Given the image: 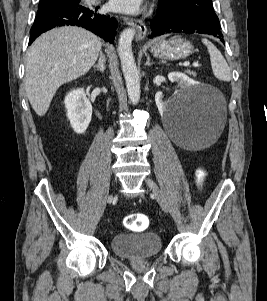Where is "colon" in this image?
<instances>
[{
	"label": "colon",
	"instance_id": "obj_1",
	"mask_svg": "<svg viewBox=\"0 0 267 301\" xmlns=\"http://www.w3.org/2000/svg\"><path fill=\"white\" fill-rule=\"evenodd\" d=\"M204 177L205 172L203 170H199L197 173V182L202 183ZM124 225L129 230L140 232L144 231L149 226V219L143 213H133L125 217Z\"/></svg>",
	"mask_w": 267,
	"mask_h": 301
}]
</instances>
